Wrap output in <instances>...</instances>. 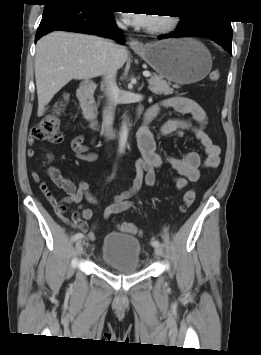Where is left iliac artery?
<instances>
[{"label":"left iliac artery","instance_id":"1","mask_svg":"<svg viewBox=\"0 0 261 355\" xmlns=\"http://www.w3.org/2000/svg\"><path fill=\"white\" fill-rule=\"evenodd\" d=\"M152 246L157 247L160 246V242L158 240H152L151 241Z\"/></svg>","mask_w":261,"mask_h":355}]
</instances>
